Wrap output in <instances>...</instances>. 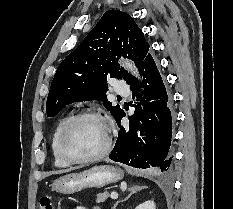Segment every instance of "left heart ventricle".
<instances>
[{"label": "left heart ventricle", "mask_w": 233, "mask_h": 209, "mask_svg": "<svg viewBox=\"0 0 233 209\" xmlns=\"http://www.w3.org/2000/svg\"><path fill=\"white\" fill-rule=\"evenodd\" d=\"M106 142L103 123L94 118L78 120L71 127L65 149L72 157H88L99 152Z\"/></svg>", "instance_id": "obj_1"}]
</instances>
